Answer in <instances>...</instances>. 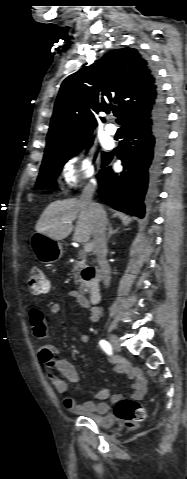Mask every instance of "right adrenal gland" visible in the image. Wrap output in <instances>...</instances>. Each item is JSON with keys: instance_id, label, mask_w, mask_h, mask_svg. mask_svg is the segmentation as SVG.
Here are the masks:
<instances>
[{"instance_id": "1", "label": "right adrenal gland", "mask_w": 187, "mask_h": 479, "mask_svg": "<svg viewBox=\"0 0 187 479\" xmlns=\"http://www.w3.org/2000/svg\"><path fill=\"white\" fill-rule=\"evenodd\" d=\"M118 229L113 230L111 224L108 225V235H107V240L110 239V237L117 232Z\"/></svg>"}]
</instances>
